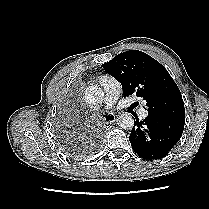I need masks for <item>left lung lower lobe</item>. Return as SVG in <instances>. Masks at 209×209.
<instances>
[{
    "mask_svg": "<svg viewBox=\"0 0 209 209\" xmlns=\"http://www.w3.org/2000/svg\"><path fill=\"white\" fill-rule=\"evenodd\" d=\"M129 136L133 150L141 158L157 160L165 157L180 140L184 124L148 115L143 121L135 116Z\"/></svg>",
    "mask_w": 209,
    "mask_h": 209,
    "instance_id": "0a47b994",
    "label": "left lung lower lobe"
}]
</instances>
